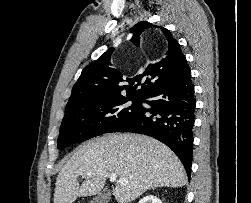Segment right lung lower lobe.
<instances>
[{"label": "right lung lower lobe", "instance_id": "1", "mask_svg": "<svg viewBox=\"0 0 251 203\" xmlns=\"http://www.w3.org/2000/svg\"><path fill=\"white\" fill-rule=\"evenodd\" d=\"M142 107L113 132L145 134L166 144L179 157L188 177L193 155L196 100L189 67L179 76L150 90Z\"/></svg>", "mask_w": 251, "mask_h": 203}]
</instances>
